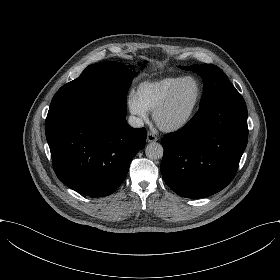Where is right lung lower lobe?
Listing matches in <instances>:
<instances>
[{
    "instance_id": "right-lung-lower-lobe-1",
    "label": "right lung lower lobe",
    "mask_w": 280,
    "mask_h": 280,
    "mask_svg": "<svg viewBox=\"0 0 280 280\" xmlns=\"http://www.w3.org/2000/svg\"><path fill=\"white\" fill-rule=\"evenodd\" d=\"M125 118L126 110L96 98L56 93L45 131L60 181L87 196L112 194L146 142V130L130 127Z\"/></svg>"
}]
</instances>
